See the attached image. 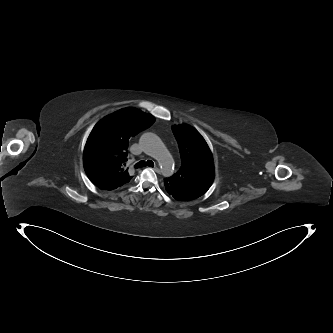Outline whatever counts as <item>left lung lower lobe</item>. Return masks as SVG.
Segmentation results:
<instances>
[{
    "label": "left lung lower lobe",
    "instance_id": "1",
    "mask_svg": "<svg viewBox=\"0 0 333 333\" xmlns=\"http://www.w3.org/2000/svg\"><path fill=\"white\" fill-rule=\"evenodd\" d=\"M164 185H167L166 179H164ZM176 199V198H175Z\"/></svg>",
    "mask_w": 333,
    "mask_h": 333
}]
</instances>
